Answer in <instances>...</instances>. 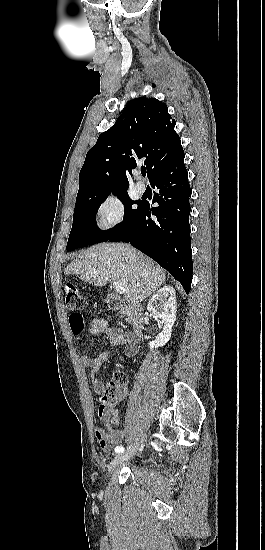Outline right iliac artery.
Returning <instances> with one entry per match:
<instances>
[{
	"mask_svg": "<svg viewBox=\"0 0 265 550\" xmlns=\"http://www.w3.org/2000/svg\"><path fill=\"white\" fill-rule=\"evenodd\" d=\"M142 448H143V445L141 446L140 450H142ZM115 452L122 453V452H124V448L122 446H117L115 448Z\"/></svg>",
	"mask_w": 265,
	"mask_h": 550,
	"instance_id": "1",
	"label": "right iliac artery"
}]
</instances>
